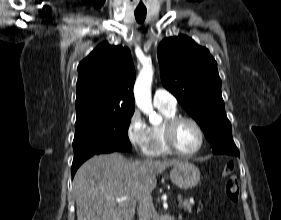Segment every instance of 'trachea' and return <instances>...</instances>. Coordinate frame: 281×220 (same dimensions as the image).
Masks as SVG:
<instances>
[{
  "mask_svg": "<svg viewBox=\"0 0 281 220\" xmlns=\"http://www.w3.org/2000/svg\"><path fill=\"white\" fill-rule=\"evenodd\" d=\"M134 14H135V18H136L138 23H142L146 18V10L136 9Z\"/></svg>",
  "mask_w": 281,
  "mask_h": 220,
  "instance_id": "1",
  "label": "trachea"
}]
</instances>
